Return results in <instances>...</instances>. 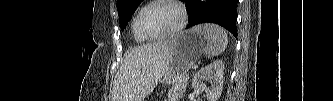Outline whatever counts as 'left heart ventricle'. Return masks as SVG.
Instances as JSON below:
<instances>
[{"instance_id":"left-heart-ventricle-1","label":"left heart ventricle","mask_w":333,"mask_h":101,"mask_svg":"<svg viewBox=\"0 0 333 101\" xmlns=\"http://www.w3.org/2000/svg\"><path fill=\"white\" fill-rule=\"evenodd\" d=\"M180 21L176 7L170 4H156L143 14L142 26L150 35H161L172 31Z\"/></svg>"}]
</instances>
